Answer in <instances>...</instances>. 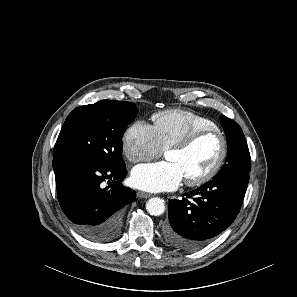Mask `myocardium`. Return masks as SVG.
I'll list each match as a JSON object with an SVG mask.
<instances>
[{"mask_svg":"<svg viewBox=\"0 0 297 297\" xmlns=\"http://www.w3.org/2000/svg\"><path fill=\"white\" fill-rule=\"evenodd\" d=\"M208 135H215L219 138L222 146L221 153L214 165L208 171L197 177L186 179L185 183L188 186L202 185L214 178L215 175L220 171L228 156L229 146L226 136L218 128L200 129L186 135L185 137L176 140L167 148V151L186 150L190 148L192 145H194L198 140Z\"/></svg>","mask_w":297,"mask_h":297,"instance_id":"obj_1","label":"myocardium"}]
</instances>
